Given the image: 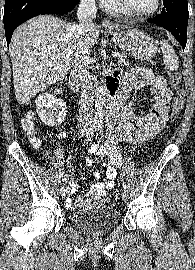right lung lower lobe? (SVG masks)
<instances>
[{
    "label": "right lung lower lobe",
    "instance_id": "1",
    "mask_svg": "<svg viewBox=\"0 0 195 270\" xmlns=\"http://www.w3.org/2000/svg\"><path fill=\"white\" fill-rule=\"evenodd\" d=\"M79 0H6L4 27L7 45L13 31L26 20L43 14L64 15L71 12Z\"/></svg>",
    "mask_w": 195,
    "mask_h": 270
}]
</instances>
